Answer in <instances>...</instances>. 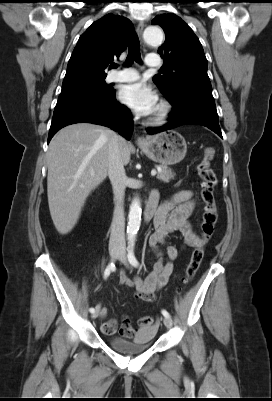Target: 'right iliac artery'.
<instances>
[{"mask_svg":"<svg viewBox=\"0 0 272 401\" xmlns=\"http://www.w3.org/2000/svg\"><path fill=\"white\" fill-rule=\"evenodd\" d=\"M114 267H115V265H114L113 263H111V264H109V265L107 266V268H106L105 271H104V278H105V279L110 275V273L112 272V270L114 269ZM89 310H90L91 313H93V312L95 311L94 308H90Z\"/></svg>","mask_w":272,"mask_h":401,"instance_id":"82829eb1","label":"right iliac artery"}]
</instances>
